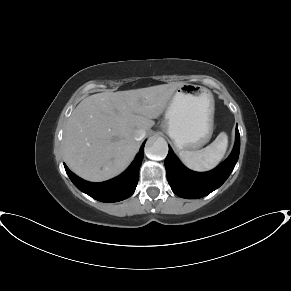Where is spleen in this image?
I'll return each mask as SVG.
<instances>
[{
  "instance_id": "spleen-1",
  "label": "spleen",
  "mask_w": 291,
  "mask_h": 291,
  "mask_svg": "<svg viewBox=\"0 0 291 291\" xmlns=\"http://www.w3.org/2000/svg\"><path fill=\"white\" fill-rule=\"evenodd\" d=\"M228 147V136L221 132L207 147L198 151L182 150L179 156L191 170L205 172L215 168L224 157Z\"/></svg>"
}]
</instances>
